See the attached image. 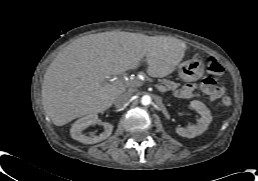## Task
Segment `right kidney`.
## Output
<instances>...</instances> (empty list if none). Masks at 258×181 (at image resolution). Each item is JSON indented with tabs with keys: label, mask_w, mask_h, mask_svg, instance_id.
I'll use <instances>...</instances> for the list:
<instances>
[{
	"label": "right kidney",
	"mask_w": 258,
	"mask_h": 181,
	"mask_svg": "<svg viewBox=\"0 0 258 181\" xmlns=\"http://www.w3.org/2000/svg\"><path fill=\"white\" fill-rule=\"evenodd\" d=\"M101 123L104 127V131L99 135L87 136L83 131L91 125ZM113 131V125L108 122H100L96 113L88 114L77 121H75L70 129V133L73 139L84 144H95L107 139Z\"/></svg>",
	"instance_id": "ca27d5eb"
}]
</instances>
